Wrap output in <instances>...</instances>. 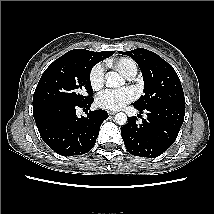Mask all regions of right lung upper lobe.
I'll return each mask as SVG.
<instances>
[{"label":"right lung upper lobe","instance_id":"1","mask_svg":"<svg viewBox=\"0 0 214 214\" xmlns=\"http://www.w3.org/2000/svg\"><path fill=\"white\" fill-rule=\"evenodd\" d=\"M70 53H86L95 58L98 62L104 60L105 58L113 55L114 51H103V52H93L85 49H74L69 51Z\"/></svg>","mask_w":214,"mask_h":214}]
</instances>
